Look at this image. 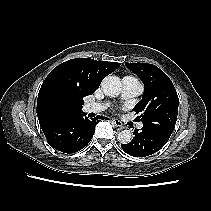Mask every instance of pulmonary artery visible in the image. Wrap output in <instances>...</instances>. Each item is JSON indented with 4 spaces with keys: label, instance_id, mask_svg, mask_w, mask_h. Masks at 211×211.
<instances>
[{
    "label": "pulmonary artery",
    "instance_id": "pulmonary-artery-1",
    "mask_svg": "<svg viewBox=\"0 0 211 211\" xmlns=\"http://www.w3.org/2000/svg\"><path fill=\"white\" fill-rule=\"evenodd\" d=\"M143 92V85L141 81L134 76H124L122 79V99H132L139 96ZM108 103H98L92 102L88 103L85 107L87 112L99 113L108 108ZM139 129L143 127V124L140 123L137 125Z\"/></svg>",
    "mask_w": 211,
    "mask_h": 211
}]
</instances>
